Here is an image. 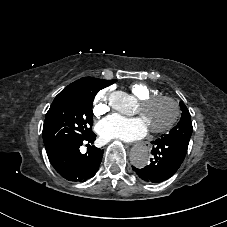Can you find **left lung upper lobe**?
Instances as JSON below:
<instances>
[{
    "mask_svg": "<svg viewBox=\"0 0 227 227\" xmlns=\"http://www.w3.org/2000/svg\"><path fill=\"white\" fill-rule=\"evenodd\" d=\"M182 109V116L178 124L172 128L168 134L161 135V137L175 138L181 141L189 142L193 127L190 113L183 102H180Z\"/></svg>",
    "mask_w": 227,
    "mask_h": 227,
    "instance_id": "left-lung-upper-lobe-1",
    "label": "left lung upper lobe"
}]
</instances>
